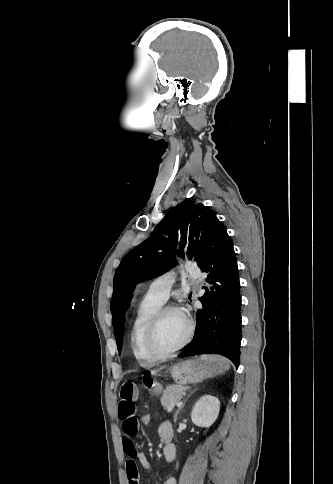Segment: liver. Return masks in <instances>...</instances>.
I'll return each mask as SVG.
<instances>
[{"mask_svg":"<svg viewBox=\"0 0 333 484\" xmlns=\"http://www.w3.org/2000/svg\"><path fill=\"white\" fill-rule=\"evenodd\" d=\"M163 368H164V367H160V368H158L156 371H160V370H162Z\"/></svg>","mask_w":333,"mask_h":484,"instance_id":"6515ba94","label":"liver"}]
</instances>
